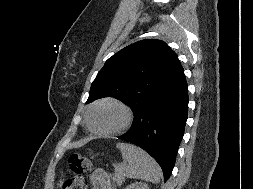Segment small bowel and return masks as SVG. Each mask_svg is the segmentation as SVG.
Wrapping results in <instances>:
<instances>
[{
    "label": "small bowel",
    "mask_w": 253,
    "mask_h": 189,
    "mask_svg": "<svg viewBox=\"0 0 253 189\" xmlns=\"http://www.w3.org/2000/svg\"><path fill=\"white\" fill-rule=\"evenodd\" d=\"M91 189H115L110 177L102 169L93 171L90 175Z\"/></svg>",
    "instance_id": "c3829d8e"
}]
</instances>
